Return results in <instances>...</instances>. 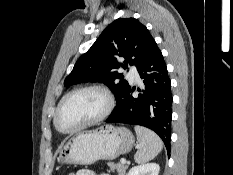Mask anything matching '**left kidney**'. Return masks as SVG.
Here are the masks:
<instances>
[{
	"instance_id": "obj_1",
	"label": "left kidney",
	"mask_w": 233,
	"mask_h": 175,
	"mask_svg": "<svg viewBox=\"0 0 233 175\" xmlns=\"http://www.w3.org/2000/svg\"><path fill=\"white\" fill-rule=\"evenodd\" d=\"M160 167L156 163H147L131 168L127 175H158Z\"/></svg>"
}]
</instances>
